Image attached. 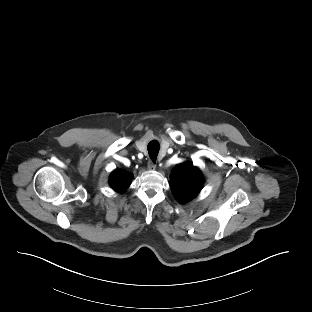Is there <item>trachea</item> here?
<instances>
[{
    "label": "trachea",
    "instance_id": "obj_1",
    "mask_svg": "<svg viewBox=\"0 0 312 312\" xmlns=\"http://www.w3.org/2000/svg\"><path fill=\"white\" fill-rule=\"evenodd\" d=\"M147 149L152 161L155 163L160 149L159 143L156 140H153L147 145Z\"/></svg>",
    "mask_w": 312,
    "mask_h": 312
}]
</instances>
